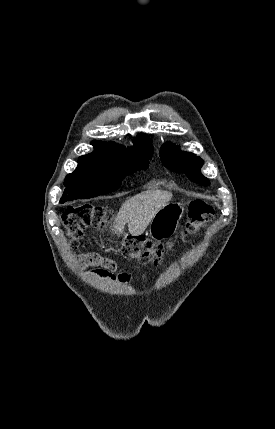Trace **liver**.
Returning <instances> with one entry per match:
<instances>
[{"mask_svg": "<svg viewBox=\"0 0 275 429\" xmlns=\"http://www.w3.org/2000/svg\"><path fill=\"white\" fill-rule=\"evenodd\" d=\"M173 194L164 190H147L122 204L113 225L116 234H122L128 224L130 234L141 235L151 223L155 214L172 199Z\"/></svg>", "mask_w": 275, "mask_h": 429, "instance_id": "6515ba94", "label": "liver"}]
</instances>
